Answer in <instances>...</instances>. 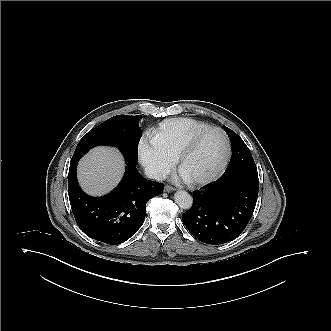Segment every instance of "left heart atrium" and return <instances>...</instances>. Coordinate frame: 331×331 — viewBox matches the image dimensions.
Instances as JSON below:
<instances>
[{
    "mask_svg": "<svg viewBox=\"0 0 331 331\" xmlns=\"http://www.w3.org/2000/svg\"><path fill=\"white\" fill-rule=\"evenodd\" d=\"M181 178L183 180H185V181H189L190 180V178L187 175H185L184 173L181 174Z\"/></svg>",
    "mask_w": 331,
    "mask_h": 331,
    "instance_id": "39dd6f15",
    "label": "left heart atrium"
}]
</instances>
